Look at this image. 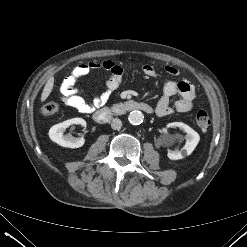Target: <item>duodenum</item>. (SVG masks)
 Instances as JSON below:
<instances>
[{
  "instance_id": "obj_1",
  "label": "duodenum",
  "mask_w": 247,
  "mask_h": 247,
  "mask_svg": "<svg viewBox=\"0 0 247 247\" xmlns=\"http://www.w3.org/2000/svg\"><path fill=\"white\" fill-rule=\"evenodd\" d=\"M131 111H142L147 114H152L154 113V108L145 102L128 100L95 111L93 118L96 122L104 124L115 116H121Z\"/></svg>"
}]
</instances>
